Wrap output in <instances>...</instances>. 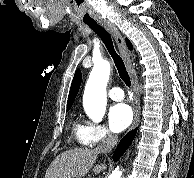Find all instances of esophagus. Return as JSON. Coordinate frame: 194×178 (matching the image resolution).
<instances>
[{
	"mask_svg": "<svg viewBox=\"0 0 194 178\" xmlns=\"http://www.w3.org/2000/svg\"><path fill=\"white\" fill-rule=\"evenodd\" d=\"M99 24L101 26H103L115 39V42H116L117 47L119 49V52H120V54L125 62V65L128 69V72L130 74L131 81H132V89L134 92V100H133L134 121H133L132 128H135L139 122V117H140V103H139V97H138V93H137V77H136L134 68L132 66V62L130 60L127 47L125 45L124 38L120 34L117 27L114 24H112L111 22L100 21Z\"/></svg>",
	"mask_w": 194,
	"mask_h": 178,
	"instance_id": "obj_1",
	"label": "esophagus"
}]
</instances>
